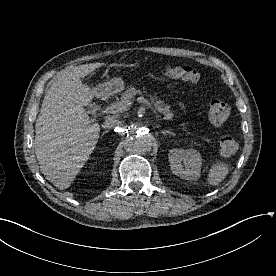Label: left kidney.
Returning <instances> with one entry per match:
<instances>
[{
  "instance_id": "obj_1",
  "label": "left kidney",
  "mask_w": 276,
  "mask_h": 276,
  "mask_svg": "<svg viewBox=\"0 0 276 276\" xmlns=\"http://www.w3.org/2000/svg\"><path fill=\"white\" fill-rule=\"evenodd\" d=\"M169 163L173 174L185 180L200 178L202 157L194 149H172L169 152Z\"/></svg>"
}]
</instances>
